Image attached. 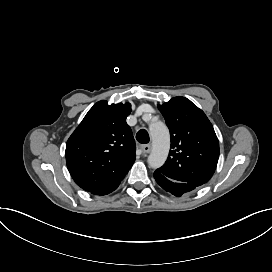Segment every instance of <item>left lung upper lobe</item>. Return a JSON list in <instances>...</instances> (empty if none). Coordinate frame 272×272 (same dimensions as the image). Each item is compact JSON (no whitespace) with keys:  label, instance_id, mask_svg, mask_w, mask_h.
<instances>
[{"label":"left lung upper lobe","instance_id":"obj_1","mask_svg":"<svg viewBox=\"0 0 272 272\" xmlns=\"http://www.w3.org/2000/svg\"><path fill=\"white\" fill-rule=\"evenodd\" d=\"M158 108L170 130L172 150L157 171L196 187L205 184L212 177L219 157V142L212 124L185 97H174Z\"/></svg>","mask_w":272,"mask_h":272}]
</instances>
